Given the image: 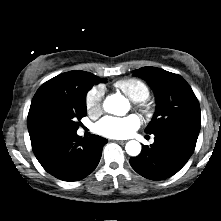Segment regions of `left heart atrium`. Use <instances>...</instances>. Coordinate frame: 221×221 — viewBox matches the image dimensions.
<instances>
[{
	"label": "left heart atrium",
	"instance_id": "obj_1",
	"mask_svg": "<svg viewBox=\"0 0 221 221\" xmlns=\"http://www.w3.org/2000/svg\"><path fill=\"white\" fill-rule=\"evenodd\" d=\"M139 126L140 120L133 114L125 117L106 116L97 123L96 130L106 137L123 139L131 136Z\"/></svg>",
	"mask_w": 221,
	"mask_h": 221
}]
</instances>
